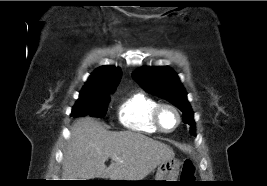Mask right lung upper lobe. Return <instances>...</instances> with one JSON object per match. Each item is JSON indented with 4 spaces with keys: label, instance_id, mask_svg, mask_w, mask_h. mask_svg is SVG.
<instances>
[{
    "label": "right lung upper lobe",
    "instance_id": "right-lung-upper-lobe-1",
    "mask_svg": "<svg viewBox=\"0 0 267 186\" xmlns=\"http://www.w3.org/2000/svg\"><path fill=\"white\" fill-rule=\"evenodd\" d=\"M121 73V69L114 66L100 67L91 74L81 92L115 90L120 81Z\"/></svg>",
    "mask_w": 267,
    "mask_h": 186
}]
</instances>
